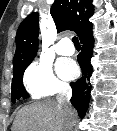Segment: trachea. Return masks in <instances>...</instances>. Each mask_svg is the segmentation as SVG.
<instances>
[{"instance_id": "trachea-1", "label": "trachea", "mask_w": 117, "mask_h": 131, "mask_svg": "<svg viewBox=\"0 0 117 131\" xmlns=\"http://www.w3.org/2000/svg\"><path fill=\"white\" fill-rule=\"evenodd\" d=\"M72 42L74 43L75 46H80V42L78 40V37H73Z\"/></svg>"}]
</instances>
